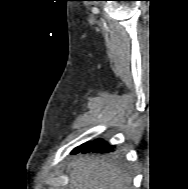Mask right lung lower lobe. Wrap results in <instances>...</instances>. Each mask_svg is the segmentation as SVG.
<instances>
[{
  "label": "right lung lower lobe",
  "mask_w": 188,
  "mask_h": 189,
  "mask_svg": "<svg viewBox=\"0 0 188 189\" xmlns=\"http://www.w3.org/2000/svg\"><path fill=\"white\" fill-rule=\"evenodd\" d=\"M113 151L112 147L106 144L102 139L95 140L92 142L84 143L81 146L76 147L71 154H77V153H88V152H94V153H107Z\"/></svg>",
  "instance_id": "1"
}]
</instances>
